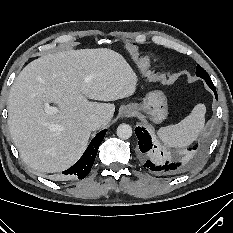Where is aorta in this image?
Returning a JSON list of instances; mask_svg holds the SVG:
<instances>
[{
	"mask_svg": "<svg viewBox=\"0 0 233 233\" xmlns=\"http://www.w3.org/2000/svg\"><path fill=\"white\" fill-rule=\"evenodd\" d=\"M132 135V128L128 124H120L117 128V136L121 139H128Z\"/></svg>",
	"mask_w": 233,
	"mask_h": 233,
	"instance_id": "1",
	"label": "aorta"
}]
</instances>
